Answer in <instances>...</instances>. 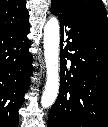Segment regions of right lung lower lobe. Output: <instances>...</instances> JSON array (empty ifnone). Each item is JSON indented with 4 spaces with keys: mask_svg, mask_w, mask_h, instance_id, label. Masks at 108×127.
Masks as SVG:
<instances>
[{
    "mask_svg": "<svg viewBox=\"0 0 108 127\" xmlns=\"http://www.w3.org/2000/svg\"><path fill=\"white\" fill-rule=\"evenodd\" d=\"M30 25L0 33V126L18 127V110L30 85Z\"/></svg>",
    "mask_w": 108,
    "mask_h": 127,
    "instance_id": "right-lung-lower-lobe-1",
    "label": "right lung lower lobe"
}]
</instances>
